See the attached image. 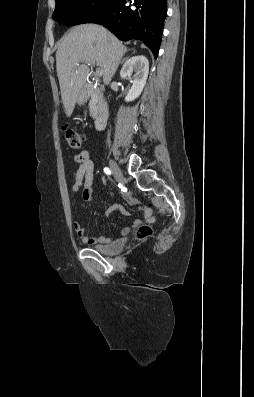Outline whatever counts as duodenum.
<instances>
[{
	"label": "duodenum",
	"mask_w": 254,
	"mask_h": 397,
	"mask_svg": "<svg viewBox=\"0 0 254 397\" xmlns=\"http://www.w3.org/2000/svg\"><path fill=\"white\" fill-rule=\"evenodd\" d=\"M85 94L87 96H96L99 100L97 113L94 119V126L97 130H102L108 120L109 108L101 90L91 84L86 85Z\"/></svg>",
	"instance_id": "obj_1"
}]
</instances>
